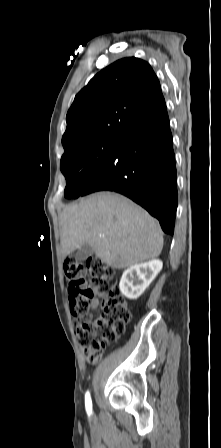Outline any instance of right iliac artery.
<instances>
[{
	"mask_svg": "<svg viewBox=\"0 0 221 448\" xmlns=\"http://www.w3.org/2000/svg\"><path fill=\"white\" fill-rule=\"evenodd\" d=\"M85 407L88 413H91L92 411V401L90 397L89 391L85 395Z\"/></svg>",
	"mask_w": 221,
	"mask_h": 448,
	"instance_id": "obj_1",
	"label": "right iliac artery"
}]
</instances>
